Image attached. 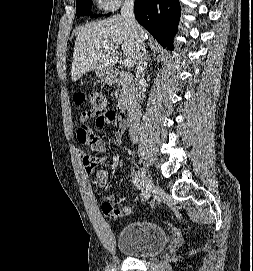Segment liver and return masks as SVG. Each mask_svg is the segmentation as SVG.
I'll use <instances>...</instances> for the list:
<instances>
[{
  "label": "liver",
  "instance_id": "obj_1",
  "mask_svg": "<svg viewBox=\"0 0 253 271\" xmlns=\"http://www.w3.org/2000/svg\"><path fill=\"white\" fill-rule=\"evenodd\" d=\"M121 45L124 57L136 63L138 43L129 24L121 15L92 22L77 30L71 78L77 81L92 70H111L119 58Z\"/></svg>",
  "mask_w": 253,
  "mask_h": 271
}]
</instances>
